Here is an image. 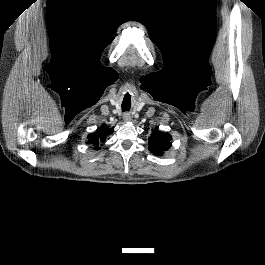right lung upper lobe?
Here are the masks:
<instances>
[{
  "label": "right lung upper lobe",
  "instance_id": "1",
  "mask_svg": "<svg viewBox=\"0 0 265 265\" xmlns=\"http://www.w3.org/2000/svg\"><path fill=\"white\" fill-rule=\"evenodd\" d=\"M113 132V128H109L106 125H102L96 130V132L88 135V143L95 146V149L98 150V144L104 142L106 137Z\"/></svg>",
  "mask_w": 265,
  "mask_h": 265
}]
</instances>
